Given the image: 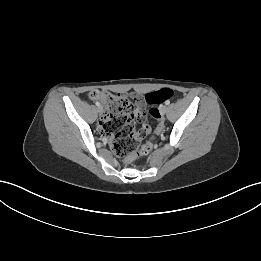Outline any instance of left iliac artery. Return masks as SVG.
I'll list each match as a JSON object with an SVG mask.
<instances>
[{
    "mask_svg": "<svg viewBox=\"0 0 261 261\" xmlns=\"http://www.w3.org/2000/svg\"><path fill=\"white\" fill-rule=\"evenodd\" d=\"M165 104H166V105H169V104H170V101H169V100H166V101H165Z\"/></svg>",
    "mask_w": 261,
    "mask_h": 261,
    "instance_id": "44dca946",
    "label": "left iliac artery"
}]
</instances>
